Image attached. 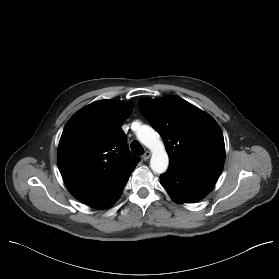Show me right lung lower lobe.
Returning a JSON list of instances; mask_svg holds the SVG:
<instances>
[{
  "instance_id": "98d812e1",
  "label": "right lung lower lobe",
  "mask_w": 279,
  "mask_h": 279,
  "mask_svg": "<svg viewBox=\"0 0 279 279\" xmlns=\"http://www.w3.org/2000/svg\"><path fill=\"white\" fill-rule=\"evenodd\" d=\"M126 183H127V181L122 183L115 189L111 190L110 192H107L103 195H100L98 197L85 201L83 203H85L89 206H92V207L100 208V209L108 208V207L112 206L119 199Z\"/></svg>"
}]
</instances>
